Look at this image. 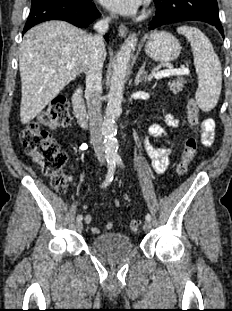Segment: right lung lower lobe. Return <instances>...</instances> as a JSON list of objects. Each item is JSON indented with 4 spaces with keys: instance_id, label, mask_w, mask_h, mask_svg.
Masks as SVG:
<instances>
[{
    "instance_id": "right-lung-lower-lobe-1",
    "label": "right lung lower lobe",
    "mask_w": 232,
    "mask_h": 311,
    "mask_svg": "<svg viewBox=\"0 0 232 311\" xmlns=\"http://www.w3.org/2000/svg\"><path fill=\"white\" fill-rule=\"evenodd\" d=\"M100 16L92 2L75 0H34L24 33L34 25L48 20H64L78 27H87ZM108 42V35L105 36Z\"/></svg>"
}]
</instances>
